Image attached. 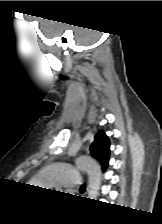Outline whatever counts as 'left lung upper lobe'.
Returning a JSON list of instances; mask_svg holds the SVG:
<instances>
[{"label":"left lung upper lobe","mask_w":162,"mask_h":224,"mask_svg":"<svg viewBox=\"0 0 162 224\" xmlns=\"http://www.w3.org/2000/svg\"><path fill=\"white\" fill-rule=\"evenodd\" d=\"M91 155L100 161L103 170L108 166L110 154V142L104 133H98L90 147Z\"/></svg>","instance_id":"1"}]
</instances>
